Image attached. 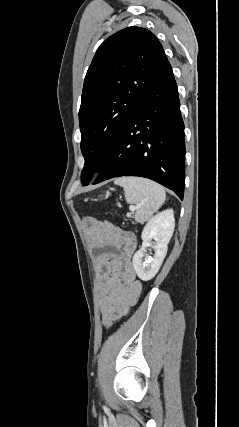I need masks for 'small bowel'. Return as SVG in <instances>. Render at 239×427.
I'll return each mask as SVG.
<instances>
[{
	"instance_id": "c3829d8e",
	"label": "small bowel",
	"mask_w": 239,
	"mask_h": 427,
	"mask_svg": "<svg viewBox=\"0 0 239 427\" xmlns=\"http://www.w3.org/2000/svg\"><path fill=\"white\" fill-rule=\"evenodd\" d=\"M99 274L100 310L106 327L124 317L141 294L132 257L137 248L133 233L112 223L87 219Z\"/></svg>"
}]
</instances>
